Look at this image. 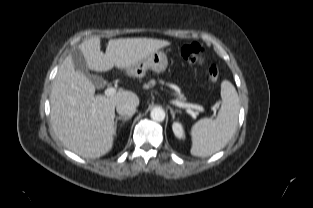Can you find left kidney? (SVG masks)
Returning a JSON list of instances; mask_svg holds the SVG:
<instances>
[{
  "label": "left kidney",
  "mask_w": 313,
  "mask_h": 208,
  "mask_svg": "<svg viewBox=\"0 0 313 208\" xmlns=\"http://www.w3.org/2000/svg\"><path fill=\"white\" fill-rule=\"evenodd\" d=\"M172 129H173V132L177 138H179V139L185 138V133H184V130H183L181 123L174 122L172 125Z\"/></svg>",
  "instance_id": "5707ae66"
}]
</instances>
